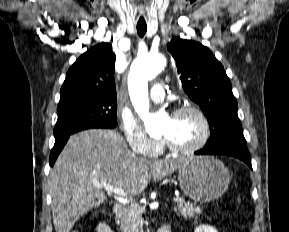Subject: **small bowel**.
Here are the masks:
<instances>
[{
	"instance_id": "1",
	"label": "small bowel",
	"mask_w": 289,
	"mask_h": 232,
	"mask_svg": "<svg viewBox=\"0 0 289 232\" xmlns=\"http://www.w3.org/2000/svg\"><path fill=\"white\" fill-rule=\"evenodd\" d=\"M96 232H113V231L108 225L100 223L96 227Z\"/></svg>"
}]
</instances>
